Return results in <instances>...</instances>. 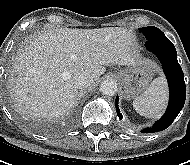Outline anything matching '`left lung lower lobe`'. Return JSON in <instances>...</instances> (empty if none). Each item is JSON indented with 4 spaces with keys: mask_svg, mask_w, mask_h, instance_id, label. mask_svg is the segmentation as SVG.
I'll return each instance as SVG.
<instances>
[{
    "mask_svg": "<svg viewBox=\"0 0 190 165\" xmlns=\"http://www.w3.org/2000/svg\"><path fill=\"white\" fill-rule=\"evenodd\" d=\"M145 46L162 63L170 90L169 104L164 115L152 127L141 131L143 133H154L169 127L177 117L185 103L186 87L184 74L177 60V52L171 41L167 37L162 36L147 41ZM116 112L118 117L122 119V114L118 107V96L116 97Z\"/></svg>",
    "mask_w": 190,
    "mask_h": 165,
    "instance_id": "obj_1",
    "label": "left lung lower lobe"
}]
</instances>
